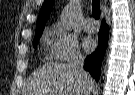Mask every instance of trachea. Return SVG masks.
<instances>
[{
  "label": "trachea",
  "mask_w": 135,
  "mask_h": 95,
  "mask_svg": "<svg viewBox=\"0 0 135 95\" xmlns=\"http://www.w3.org/2000/svg\"><path fill=\"white\" fill-rule=\"evenodd\" d=\"M92 15L96 20L100 18V1L99 0H93Z\"/></svg>",
  "instance_id": "trachea-1"
}]
</instances>
